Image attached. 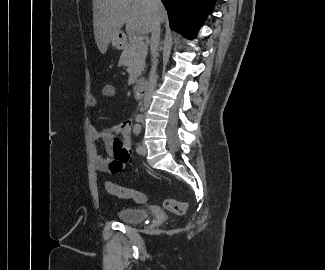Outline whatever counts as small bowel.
I'll use <instances>...</instances> for the list:
<instances>
[{"mask_svg":"<svg viewBox=\"0 0 325 270\" xmlns=\"http://www.w3.org/2000/svg\"><path fill=\"white\" fill-rule=\"evenodd\" d=\"M104 97L107 98V96ZM87 102L89 106L94 107L99 103V99L96 96H90ZM132 126L133 122L131 119L102 131L95 125H91V140L93 142L102 140L108 154L107 157L101 155L96 146H93V160L95 167L99 171L119 173L126 165L132 162L130 152Z\"/></svg>","mask_w":325,"mask_h":270,"instance_id":"c3829d8e","label":"small bowel"}]
</instances>
